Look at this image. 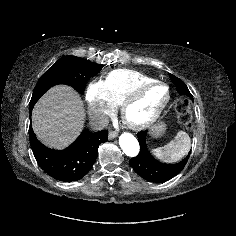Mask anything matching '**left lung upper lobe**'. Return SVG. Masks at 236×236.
<instances>
[{"label":"left lung upper lobe","mask_w":236,"mask_h":236,"mask_svg":"<svg viewBox=\"0 0 236 236\" xmlns=\"http://www.w3.org/2000/svg\"><path fill=\"white\" fill-rule=\"evenodd\" d=\"M169 77L172 81V83L176 86V90L182 94H185L189 97H191V93L189 92L187 86L185 85V83L180 80L179 78H177L176 76L169 74Z\"/></svg>","instance_id":"left-lung-upper-lobe-1"}]
</instances>
